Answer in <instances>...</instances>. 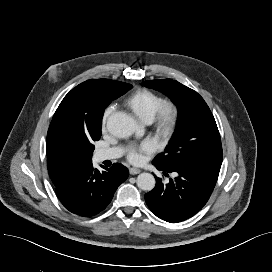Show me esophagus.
<instances>
[{"label": "esophagus", "instance_id": "1", "mask_svg": "<svg viewBox=\"0 0 272 272\" xmlns=\"http://www.w3.org/2000/svg\"><path fill=\"white\" fill-rule=\"evenodd\" d=\"M140 172H141V170L138 169V168L132 167V168L129 169V173H130L131 175H136V174H139Z\"/></svg>", "mask_w": 272, "mask_h": 272}]
</instances>
